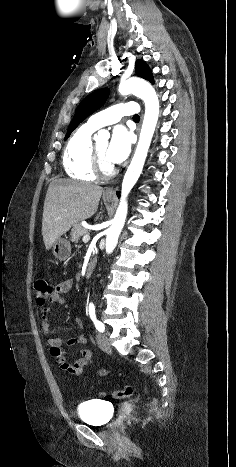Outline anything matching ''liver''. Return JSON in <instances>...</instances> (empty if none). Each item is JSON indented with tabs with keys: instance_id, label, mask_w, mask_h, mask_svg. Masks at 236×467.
Returning <instances> with one entry per match:
<instances>
[{
	"instance_id": "liver-1",
	"label": "liver",
	"mask_w": 236,
	"mask_h": 467,
	"mask_svg": "<svg viewBox=\"0 0 236 467\" xmlns=\"http://www.w3.org/2000/svg\"><path fill=\"white\" fill-rule=\"evenodd\" d=\"M102 192V187L90 183L62 179L51 182L42 219V236L47 250L72 226L96 213Z\"/></svg>"
}]
</instances>
